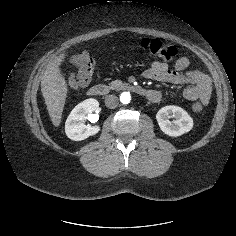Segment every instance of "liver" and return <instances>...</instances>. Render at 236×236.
I'll return each mask as SVG.
<instances>
[{
    "mask_svg": "<svg viewBox=\"0 0 236 236\" xmlns=\"http://www.w3.org/2000/svg\"><path fill=\"white\" fill-rule=\"evenodd\" d=\"M67 53L63 52L46 67L41 79V92L47 106L50 119L55 127L61 123L68 86L61 73L60 66Z\"/></svg>",
    "mask_w": 236,
    "mask_h": 236,
    "instance_id": "obj_1",
    "label": "liver"
}]
</instances>
